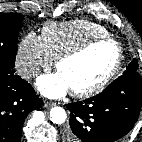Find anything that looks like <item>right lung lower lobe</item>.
Wrapping results in <instances>:
<instances>
[{"label": "right lung lower lobe", "instance_id": "right-lung-lower-lobe-1", "mask_svg": "<svg viewBox=\"0 0 142 142\" xmlns=\"http://www.w3.org/2000/svg\"><path fill=\"white\" fill-rule=\"evenodd\" d=\"M41 106L42 99L28 82L0 72V142H20L27 115Z\"/></svg>", "mask_w": 142, "mask_h": 142}]
</instances>
